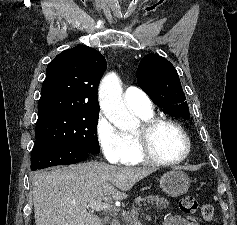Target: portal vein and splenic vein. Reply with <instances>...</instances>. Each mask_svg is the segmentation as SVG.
<instances>
[{
  "instance_id": "obj_1",
  "label": "portal vein and splenic vein",
  "mask_w": 237,
  "mask_h": 225,
  "mask_svg": "<svg viewBox=\"0 0 237 225\" xmlns=\"http://www.w3.org/2000/svg\"><path fill=\"white\" fill-rule=\"evenodd\" d=\"M89 208H91L92 210H96V211H106V210H115V211H119L118 208L113 207L112 205L108 204V203H103L101 201L98 202H92L88 205Z\"/></svg>"
}]
</instances>
